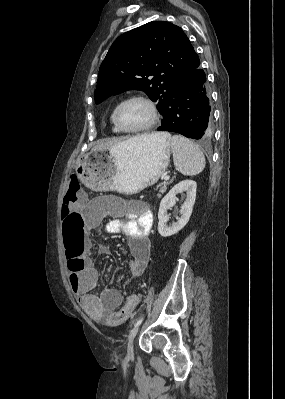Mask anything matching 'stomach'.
Listing matches in <instances>:
<instances>
[{
	"label": "stomach",
	"mask_w": 285,
	"mask_h": 399,
	"mask_svg": "<svg viewBox=\"0 0 285 399\" xmlns=\"http://www.w3.org/2000/svg\"><path fill=\"white\" fill-rule=\"evenodd\" d=\"M170 148L168 133L135 138L109 149H93L77 162L75 172L93 191L135 194L158 181L168 167Z\"/></svg>",
	"instance_id": "stomach-1"
}]
</instances>
